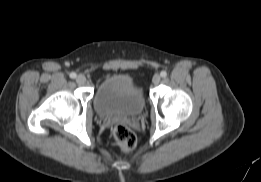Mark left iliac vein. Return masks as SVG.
<instances>
[{"mask_svg":"<svg viewBox=\"0 0 261 182\" xmlns=\"http://www.w3.org/2000/svg\"><path fill=\"white\" fill-rule=\"evenodd\" d=\"M161 81V76L159 74H155L152 78V82L154 85H158Z\"/></svg>","mask_w":261,"mask_h":182,"instance_id":"left-iliac-vein-1","label":"left iliac vein"}]
</instances>
